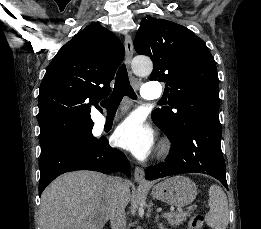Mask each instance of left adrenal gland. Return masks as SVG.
<instances>
[{
  "mask_svg": "<svg viewBox=\"0 0 261 229\" xmlns=\"http://www.w3.org/2000/svg\"><path fill=\"white\" fill-rule=\"evenodd\" d=\"M156 221H157V223H158V221H159V215H156ZM158 227H159V229H165V225H163V223H158Z\"/></svg>",
  "mask_w": 261,
  "mask_h": 229,
  "instance_id": "a2214340",
  "label": "left adrenal gland"
}]
</instances>
